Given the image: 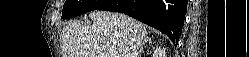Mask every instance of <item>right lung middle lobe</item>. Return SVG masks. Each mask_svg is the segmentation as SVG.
<instances>
[{
    "instance_id": "right-lung-middle-lobe-1",
    "label": "right lung middle lobe",
    "mask_w": 249,
    "mask_h": 57,
    "mask_svg": "<svg viewBox=\"0 0 249 57\" xmlns=\"http://www.w3.org/2000/svg\"><path fill=\"white\" fill-rule=\"evenodd\" d=\"M108 1L109 0H67L63 6L61 18H72L98 9Z\"/></svg>"
}]
</instances>
